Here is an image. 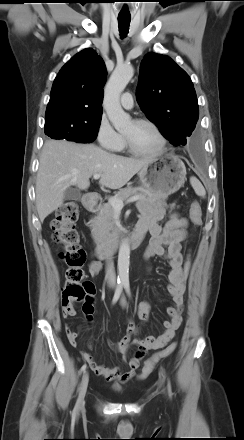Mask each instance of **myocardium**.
I'll return each mask as SVG.
<instances>
[{"label": "myocardium", "instance_id": "f54148a6", "mask_svg": "<svg viewBox=\"0 0 244 440\" xmlns=\"http://www.w3.org/2000/svg\"><path fill=\"white\" fill-rule=\"evenodd\" d=\"M133 122L136 124L147 125V126H150L151 128H153L160 139V146L154 152H143V151L137 149L128 137L123 135V139H124L126 148L128 149V151L130 153L137 155V156L151 157V156L160 155L167 149L168 140H167L163 130L160 128V126L157 123H155L154 121H152L150 119H146V118H137V119L133 120Z\"/></svg>", "mask_w": 244, "mask_h": 440}]
</instances>
